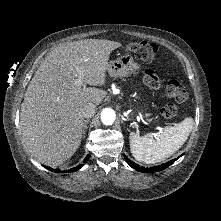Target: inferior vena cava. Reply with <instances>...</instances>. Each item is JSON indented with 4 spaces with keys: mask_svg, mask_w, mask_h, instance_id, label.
I'll return each mask as SVG.
<instances>
[{
    "mask_svg": "<svg viewBox=\"0 0 221 221\" xmlns=\"http://www.w3.org/2000/svg\"><path fill=\"white\" fill-rule=\"evenodd\" d=\"M95 113H96V105L93 103L86 104L81 110V114L85 118H91L94 116Z\"/></svg>",
    "mask_w": 221,
    "mask_h": 221,
    "instance_id": "inferior-vena-cava-1",
    "label": "inferior vena cava"
}]
</instances>
